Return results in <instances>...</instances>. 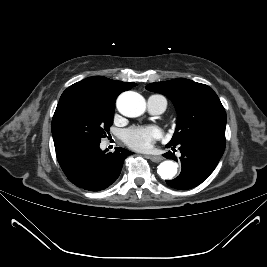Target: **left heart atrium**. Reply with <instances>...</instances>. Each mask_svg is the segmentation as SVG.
<instances>
[{"instance_id":"39dd6f15","label":"left heart atrium","mask_w":267,"mask_h":267,"mask_svg":"<svg viewBox=\"0 0 267 267\" xmlns=\"http://www.w3.org/2000/svg\"><path fill=\"white\" fill-rule=\"evenodd\" d=\"M161 137L157 127H132L122 133L123 141L131 148L147 151L152 148L155 140Z\"/></svg>"}]
</instances>
